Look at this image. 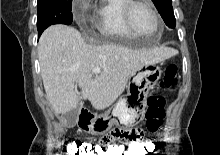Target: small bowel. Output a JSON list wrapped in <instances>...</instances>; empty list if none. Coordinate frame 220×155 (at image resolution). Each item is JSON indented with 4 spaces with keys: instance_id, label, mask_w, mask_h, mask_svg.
<instances>
[{
    "instance_id": "small-bowel-1",
    "label": "small bowel",
    "mask_w": 220,
    "mask_h": 155,
    "mask_svg": "<svg viewBox=\"0 0 220 155\" xmlns=\"http://www.w3.org/2000/svg\"><path fill=\"white\" fill-rule=\"evenodd\" d=\"M139 139H143L142 126H111V130H106L103 136L94 140V145L124 146L117 145L116 141H139Z\"/></svg>"
}]
</instances>
